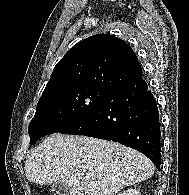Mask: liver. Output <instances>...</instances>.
I'll use <instances>...</instances> for the list:
<instances>
[{
    "mask_svg": "<svg viewBox=\"0 0 189 195\" xmlns=\"http://www.w3.org/2000/svg\"><path fill=\"white\" fill-rule=\"evenodd\" d=\"M30 182L67 184L69 195H116L154 174V164L122 144L86 136L53 134L25 161Z\"/></svg>",
    "mask_w": 189,
    "mask_h": 195,
    "instance_id": "6515ba94",
    "label": "liver"
}]
</instances>
